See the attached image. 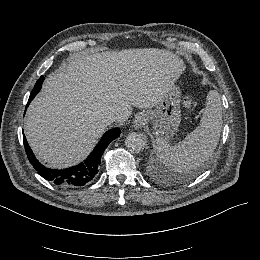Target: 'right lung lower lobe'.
Instances as JSON below:
<instances>
[{
  "mask_svg": "<svg viewBox=\"0 0 260 260\" xmlns=\"http://www.w3.org/2000/svg\"><path fill=\"white\" fill-rule=\"evenodd\" d=\"M44 81V77L41 76L39 80L36 82L35 87L29 97L28 103L26 107L30 104L32 99L36 96V94L40 91L41 85ZM120 135V129L114 128L106 132L97 146L94 148L89 157L79 165L74 167L63 169V170H54L49 169L43 166L34 156L32 150L30 149L27 140L23 134L24 146L26 150L27 157L30 163L33 165L35 170L41 175L44 179L51 181L57 186L73 188L84 186L90 181L98 173V168L101 161V156L104 150L108 147V145Z\"/></svg>",
  "mask_w": 260,
  "mask_h": 260,
  "instance_id": "right-lung-lower-lobe-1",
  "label": "right lung lower lobe"
}]
</instances>
